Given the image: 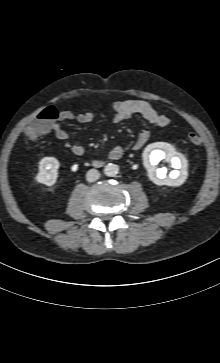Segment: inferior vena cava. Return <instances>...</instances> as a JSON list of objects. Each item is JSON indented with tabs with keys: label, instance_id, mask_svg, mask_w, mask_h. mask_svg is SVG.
<instances>
[{
	"label": "inferior vena cava",
	"instance_id": "obj_1",
	"mask_svg": "<svg viewBox=\"0 0 220 363\" xmlns=\"http://www.w3.org/2000/svg\"><path fill=\"white\" fill-rule=\"evenodd\" d=\"M100 177V173L96 169H90L86 174V179L89 182H94Z\"/></svg>",
	"mask_w": 220,
	"mask_h": 363
}]
</instances>
